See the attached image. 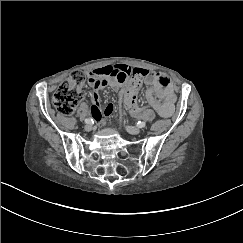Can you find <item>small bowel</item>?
<instances>
[{
    "label": "small bowel",
    "mask_w": 243,
    "mask_h": 243,
    "mask_svg": "<svg viewBox=\"0 0 243 243\" xmlns=\"http://www.w3.org/2000/svg\"><path fill=\"white\" fill-rule=\"evenodd\" d=\"M134 71H142L145 74L144 80L149 86L146 92L149 105L162 117H170L173 114L176 96L173 84L168 76L156 71L144 69L132 70L127 65L118 64L97 68L87 73L88 83L94 89L91 96V114L95 120L103 122L115 110L113 104H108L104 109L100 107L96 90L107 85L118 89Z\"/></svg>",
    "instance_id": "obj_1"
}]
</instances>
